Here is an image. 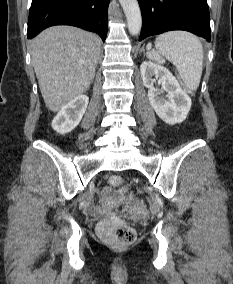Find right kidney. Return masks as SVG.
<instances>
[{"instance_id":"ca27d5eb","label":"right kidney","mask_w":233,"mask_h":284,"mask_svg":"<svg viewBox=\"0 0 233 284\" xmlns=\"http://www.w3.org/2000/svg\"><path fill=\"white\" fill-rule=\"evenodd\" d=\"M89 98L79 95L64 106L52 121V128L59 134L71 132L81 121Z\"/></svg>"}]
</instances>
